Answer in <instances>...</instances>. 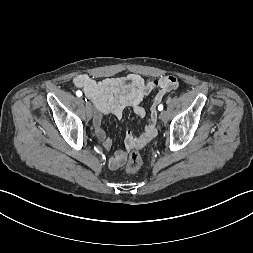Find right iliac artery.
<instances>
[{"label": "right iliac artery", "instance_id": "obj_1", "mask_svg": "<svg viewBox=\"0 0 253 253\" xmlns=\"http://www.w3.org/2000/svg\"><path fill=\"white\" fill-rule=\"evenodd\" d=\"M76 95L78 96V97H80V96H82V92L80 91V90H78L77 92H76ZM86 100V99H85Z\"/></svg>", "mask_w": 253, "mask_h": 253}]
</instances>
